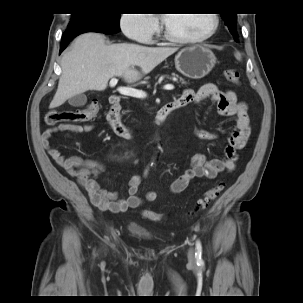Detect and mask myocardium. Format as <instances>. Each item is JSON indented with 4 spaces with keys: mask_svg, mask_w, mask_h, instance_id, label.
Wrapping results in <instances>:
<instances>
[{
    "mask_svg": "<svg viewBox=\"0 0 303 303\" xmlns=\"http://www.w3.org/2000/svg\"><path fill=\"white\" fill-rule=\"evenodd\" d=\"M212 18H213V23L211 28L204 34L196 37H183V36H178L174 34L170 28L167 25V22L163 23V35L165 38H167L170 41L176 42V43H181V44H188V43H198L202 42L208 38H210L216 30L219 27V17L217 14L212 13Z\"/></svg>",
    "mask_w": 303,
    "mask_h": 303,
    "instance_id": "1",
    "label": "myocardium"
}]
</instances>
